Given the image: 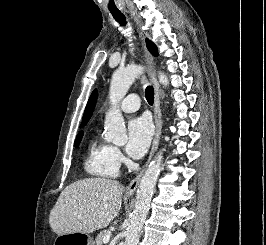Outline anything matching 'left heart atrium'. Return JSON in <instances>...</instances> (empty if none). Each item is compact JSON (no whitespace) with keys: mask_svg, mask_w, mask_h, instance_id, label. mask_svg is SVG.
I'll list each match as a JSON object with an SVG mask.
<instances>
[{"mask_svg":"<svg viewBox=\"0 0 266 245\" xmlns=\"http://www.w3.org/2000/svg\"><path fill=\"white\" fill-rule=\"evenodd\" d=\"M153 135L151 121L142 116L131 120L127 127L126 153L132 158L141 157L149 146Z\"/></svg>","mask_w":266,"mask_h":245,"instance_id":"1","label":"left heart atrium"}]
</instances>
